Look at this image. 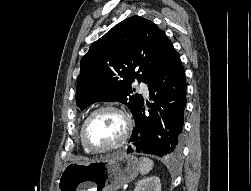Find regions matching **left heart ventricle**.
I'll list each match as a JSON object with an SVG mask.
<instances>
[{"mask_svg": "<svg viewBox=\"0 0 251 191\" xmlns=\"http://www.w3.org/2000/svg\"><path fill=\"white\" fill-rule=\"evenodd\" d=\"M123 131V123L112 111L95 114L85 130L87 145L94 150H103L118 142Z\"/></svg>", "mask_w": 251, "mask_h": 191, "instance_id": "left-heart-ventricle-1", "label": "left heart ventricle"}]
</instances>
